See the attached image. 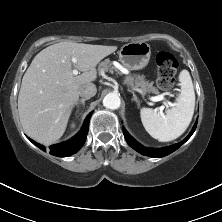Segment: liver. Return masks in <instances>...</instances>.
Returning <instances> with one entry per match:
<instances>
[{
  "label": "liver",
  "mask_w": 222,
  "mask_h": 222,
  "mask_svg": "<svg viewBox=\"0 0 222 222\" xmlns=\"http://www.w3.org/2000/svg\"><path fill=\"white\" fill-rule=\"evenodd\" d=\"M117 46L60 42L40 51L25 72L18 96L24 132L39 143L51 144L64 134L79 90L97 78L96 66ZM74 67L80 75L72 73Z\"/></svg>",
  "instance_id": "liver-1"
}]
</instances>
